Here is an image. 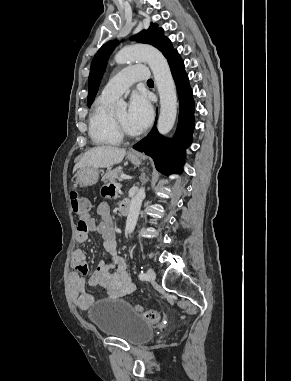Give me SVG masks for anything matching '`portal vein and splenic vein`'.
<instances>
[{
	"label": "portal vein and splenic vein",
	"mask_w": 291,
	"mask_h": 381,
	"mask_svg": "<svg viewBox=\"0 0 291 381\" xmlns=\"http://www.w3.org/2000/svg\"><path fill=\"white\" fill-rule=\"evenodd\" d=\"M131 178H132L131 176L121 174V179H131Z\"/></svg>",
	"instance_id": "1"
}]
</instances>
